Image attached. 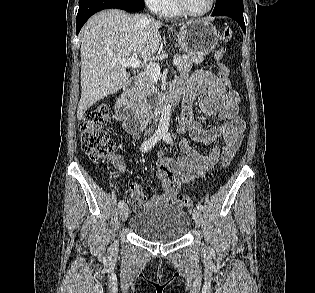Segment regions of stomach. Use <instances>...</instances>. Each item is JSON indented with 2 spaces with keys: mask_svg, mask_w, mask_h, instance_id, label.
<instances>
[{
  "mask_svg": "<svg viewBox=\"0 0 315 293\" xmlns=\"http://www.w3.org/2000/svg\"><path fill=\"white\" fill-rule=\"evenodd\" d=\"M176 35L180 49L195 63L202 62L219 41L216 28L205 20L187 22Z\"/></svg>",
  "mask_w": 315,
  "mask_h": 293,
  "instance_id": "1",
  "label": "stomach"
}]
</instances>
